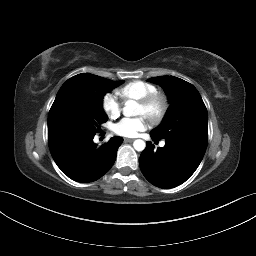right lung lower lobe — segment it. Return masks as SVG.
I'll list each match as a JSON object with an SVG mask.
<instances>
[{"label":"right lung lower lobe","instance_id":"right-lung-lower-lobe-1","mask_svg":"<svg viewBox=\"0 0 256 256\" xmlns=\"http://www.w3.org/2000/svg\"><path fill=\"white\" fill-rule=\"evenodd\" d=\"M94 134L73 130L48 129L51 155L69 178L77 182H93L112 167L121 137H113L100 147L93 142Z\"/></svg>","mask_w":256,"mask_h":256}]
</instances>
